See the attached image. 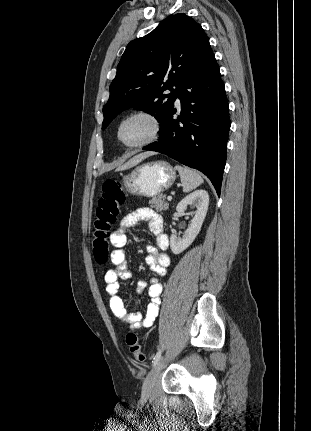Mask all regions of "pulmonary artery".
<instances>
[{"instance_id":"pulmonary-artery-1","label":"pulmonary artery","mask_w":311,"mask_h":431,"mask_svg":"<svg viewBox=\"0 0 311 431\" xmlns=\"http://www.w3.org/2000/svg\"><path fill=\"white\" fill-rule=\"evenodd\" d=\"M176 103H177V104H179V103H180V99H179V98L177 99Z\"/></svg>"}]
</instances>
